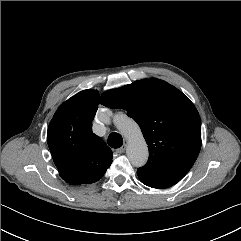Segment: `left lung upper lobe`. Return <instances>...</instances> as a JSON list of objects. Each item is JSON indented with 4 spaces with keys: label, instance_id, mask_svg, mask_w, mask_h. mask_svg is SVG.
<instances>
[{
    "label": "left lung upper lobe",
    "instance_id": "left-lung-upper-lobe-1",
    "mask_svg": "<svg viewBox=\"0 0 241 241\" xmlns=\"http://www.w3.org/2000/svg\"><path fill=\"white\" fill-rule=\"evenodd\" d=\"M100 102L126 110L140 126L149 159L139 169L175 183L188 173L201 148V119L181 91L159 79H143L106 91Z\"/></svg>",
    "mask_w": 241,
    "mask_h": 241
}]
</instances>
